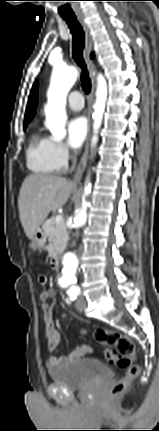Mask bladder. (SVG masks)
<instances>
[{
    "label": "bladder",
    "instance_id": "1",
    "mask_svg": "<svg viewBox=\"0 0 159 431\" xmlns=\"http://www.w3.org/2000/svg\"><path fill=\"white\" fill-rule=\"evenodd\" d=\"M110 368L104 363L83 358L73 361L65 366L49 367L48 376L54 383L69 389L77 390L111 376Z\"/></svg>",
    "mask_w": 159,
    "mask_h": 431
}]
</instances>
